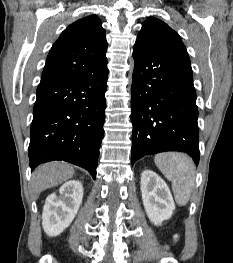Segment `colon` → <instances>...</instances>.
<instances>
[{
  "instance_id": "5ec220e1",
  "label": "colon",
  "mask_w": 233,
  "mask_h": 263,
  "mask_svg": "<svg viewBox=\"0 0 233 263\" xmlns=\"http://www.w3.org/2000/svg\"><path fill=\"white\" fill-rule=\"evenodd\" d=\"M177 241V236L174 238V243ZM163 248L167 249L168 246L167 245H163Z\"/></svg>"
}]
</instances>
